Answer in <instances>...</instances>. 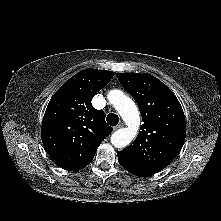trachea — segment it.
Instances as JSON below:
<instances>
[{
    "instance_id": "trachea-1",
    "label": "trachea",
    "mask_w": 221,
    "mask_h": 221,
    "mask_svg": "<svg viewBox=\"0 0 221 221\" xmlns=\"http://www.w3.org/2000/svg\"><path fill=\"white\" fill-rule=\"evenodd\" d=\"M106 120L110 126H116L119 122V117H118V115H116L114 113H110L107 115Z\"/></svg>"
}]
</instances>
